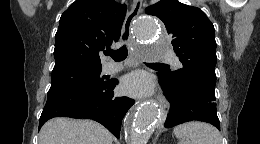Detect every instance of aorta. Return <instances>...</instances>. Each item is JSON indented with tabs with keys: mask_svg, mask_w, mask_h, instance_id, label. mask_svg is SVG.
<instances>
[{
	"mask_svg": "<svg viewBox=\"0 0 260 144\" xmlns=\"http://www.w3.org/2000/svg\"><path fill=\"white\" fill-rule=\"evenodd\" d=\"M134 30L137 38L145 43H155L161 40L157 23L152 17L138 20ZM155 54L149 49L142 53V56L153 58ZM160 122V109L155 102L151 101L138 105L126 119L129 144H147L153 128Z\"/></svg>",
	"mask_w": 260,
	"mask_h": 144,
	"instance_id": "762f6f07",
	"label": "aorta"
}]
</instances>
